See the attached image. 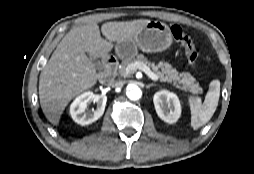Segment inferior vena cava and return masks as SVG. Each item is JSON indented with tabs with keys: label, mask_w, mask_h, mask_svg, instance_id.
Wrapping results in <instances>:
<instances>
[{
	"label": "inferior vena cava",
	"mask_w": 254,
	"mask_h": 174,
	"mask_svg": "<svg viewBox=\"0 0 254 174\" xmlns=\"http://www.w3.org/2000/svg\"><path fill=\"white\" fill-rule=\"evenodd\" d=\"M110 86L113 87V88H120L123 86V81L122 80H115V81H112L110 83Z\"/></svg>",
	"instance_id": "1"
}]
</instances>
